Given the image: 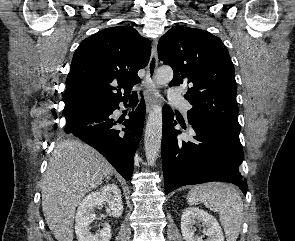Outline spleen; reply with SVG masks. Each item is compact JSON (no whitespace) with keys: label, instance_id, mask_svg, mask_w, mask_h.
Returning a JSON list of instances; mask_svg holds the SVG:
<instances>
[{"label":"spleen","instance_id":"obj_1","mask_svg":"<svg viewBox=\"0 0 295 241\" xmlns=\"http://www.w3.org/2000/svg\"><path fill=\"white\" fill-rule=\"evenodd\" d=\"M187 203H203L210 210L218 212L226 240H237L243 219V202L233 186L221 182L194 186L187 195Z\"/></svg>","mask_w":295,"mask_h":241}]
</instances>
